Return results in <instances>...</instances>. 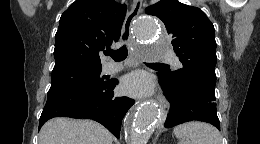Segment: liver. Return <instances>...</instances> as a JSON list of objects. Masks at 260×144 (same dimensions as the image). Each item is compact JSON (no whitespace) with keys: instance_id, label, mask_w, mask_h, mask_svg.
<instances>
[{"instance_id":"liver-1","label":"liver","mask_w":260,"mask_h":144,"mask_svg":"<svg viewBox=\"0 0 260 144\" xmlns=\"http://www.w3.org/2000/svg\"><path fill=\"white\" fill-rule=\"evenodd\" d=\"M112 141V134L92 120L58 117L47 121L39 133V144H112Z\"/></svg>"}]
</instances>
